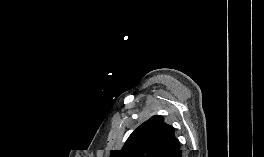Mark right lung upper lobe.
Here are the masks:
<instances>
[{"mask_svg": "<svg viewBox=\"0 0 264 157\" xmlns=\"http://www.w3.org/2000/svg\"><path fill=\"white\" fill-rule=\"evenodd\" d=\"M174 128L162 116H153L127 139L121 150H112L110 157H182Z\"/></svg>", "mask_w": 264, "mask_h": 157, "instance_id": "1", "label": "right lung upper lobe"}]
</instances>
